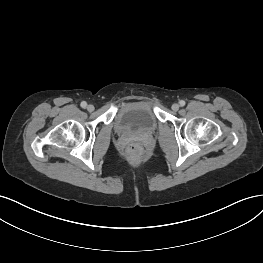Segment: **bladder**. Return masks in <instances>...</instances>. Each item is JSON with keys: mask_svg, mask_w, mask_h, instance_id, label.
Masks as SVG:
<instances>
[{"mask_svg": "<svg viewBox=\"0 0 263 263\" xmlns=\"http://www.w3.org/2000/svg\"><path fill=\"white\" fill-rule=\"evenodd\" d=\"M119 133L150 134L159 124L155 107L150 102H133L123 105L114 119Z\"/></svg>", "mask_w": 263, "mask_h": 263, "instance_id": "bladder-1", "label": "bladder"}]
</instances>
